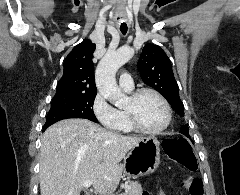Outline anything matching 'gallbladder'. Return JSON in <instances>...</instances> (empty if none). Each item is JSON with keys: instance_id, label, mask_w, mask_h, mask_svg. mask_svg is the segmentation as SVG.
<instances>
[{"instance_id": "gallbladder-1", "label": "gallbladder", "mask_w": 240, "mask_h": 195, "mask_svg": "<svg viewBox=\"0 0 240 195\" xmlns=\"http://www.w3.org/2000/svg\"><path fill=\"white\" fill-rule=\"evenodd\" d=\"M83 195H91V190H84Z\"/></svg>"}]
</instances>
